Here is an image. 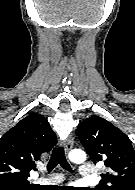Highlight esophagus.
<instances>
[{
	"label": "esophagus",
	"mask_w": 135,
	"mask_h": 190,
	"mask_svg": "<svg viewBox=\"0 0 135 190\" xmlns=\"http://www.w3.org/2000/svg\"><path fill=\"white\" fill-rule=\"evenodd\" d=\"M73 144H74V142H73V139L71 137H69L68 139H66L64 141L63 145H64V149H65L66 153H68L72 149Z\"/></svg>",
	"instance_id": "1"
}]
</instances>
